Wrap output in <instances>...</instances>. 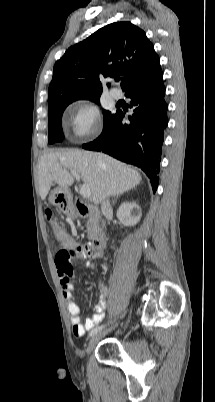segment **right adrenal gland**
<instances>
[{
  "mask_svg": "<svg viewBox=\"0 0 215 402\" xmlns=\"http://www.w3.org/2000/svg\"><path fill=\"white\" fill-rule=\"evenodd\" d=\"M121 195H122V194H119V195H117V196L114 198V200H113V202H112V205H114V204L116 203L118 197H120Z\"/></svg>",
  "mask_w": 215,
  "mask_h": 402,
  "instance_id": "obj_1",
  "label": "right adrenal gland"
}]
</instances>
